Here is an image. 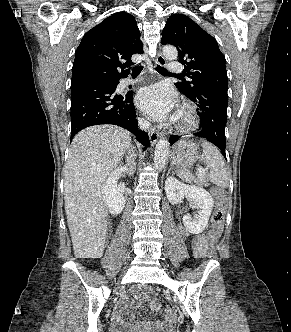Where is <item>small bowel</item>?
I'll list each match as a JSON object with an SVG mask.
<instances>
[{"instance_id":"1","label":"small bowel","mask_w":291,"mask_h":332,"mask_svg":"<svg viewBox=\"0 0 291 332\" xmlns=\"http://www.w3.org/2000/svg\"><path fill=\"white\" fill-rule=\"evenodd\" d=\"M208 248L207 239L204 235H196L192 238V250L194 256L197 258H203L206 256ZM137 302L148 301L149 306L154 311H159L161 309L160 304L151 298L150 292L146 291L140 294L136 299ZM121 326H126L124 321H119ZM171 326V316L170 313H166L163 320H152L143 324L145 329L156 332H166Z\"/></svg>"}]
</instances>
